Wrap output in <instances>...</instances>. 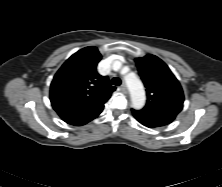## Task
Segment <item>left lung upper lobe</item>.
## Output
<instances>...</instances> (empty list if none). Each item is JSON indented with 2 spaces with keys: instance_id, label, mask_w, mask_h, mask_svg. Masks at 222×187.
Wrapping results in <instances>:
<instances>
[{
  "instance_id": "left-lung-upper-lobe-1",
  "label": "left lung upper lobe",
  "mask_w": 222,
  "mask_h": 187,
  "mask_svg": "<svg viewBox=\"0 0 222 187\" xmlns=\"http://www.w3.org/2000/svg\"><path fill=\"white\" fill-rule=\"evenodd\" d=\"M139 75L146 87L148 110H162L179 113L184 95L179 81L168 66L154 55L135 59Z\"/></svg>"
}]
</instances>
